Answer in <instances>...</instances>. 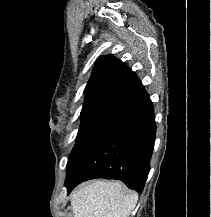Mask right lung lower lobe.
<instances>
[{
    "instance_id": "1",
    "label": "right lung lower lobe",
    "mask_w": 211,
    "mask_h": 217,
    "mask_svg": "<svg viewBox=\"0 0 211 217\" xmlns=\"http://www.w3.org/2000/svg\"><path fill=\"white\" fill-rule=\"evenodd\" d=\"M155 134L153 104L147 95L116 117L83 154L66 177L68 193L81 182L96 178L118 179L142 192Z\"/></svg>"
}]
</instances>
